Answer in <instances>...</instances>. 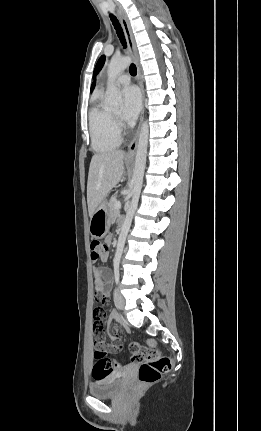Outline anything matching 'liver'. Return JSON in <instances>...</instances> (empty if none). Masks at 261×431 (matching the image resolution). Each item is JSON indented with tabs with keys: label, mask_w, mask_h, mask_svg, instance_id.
Instances as JSON below:
<instances>
[{
	"label": "liver",
	"mask_w": 261,
	"mask_h": 431,
	"mask_svg": "<svg viewBox=\"0 0 261 431\" xmlns=\"http://www.w3.org/2000/svg\"><path fill=\"white\" fill-rule=\"evenodd\" d=\"M124 151L94 154L87 181V203L90 218L107 194L120 181L124 171Z\"/></svg>",
	"instance_id": "liver-1"
}]
</instances>
